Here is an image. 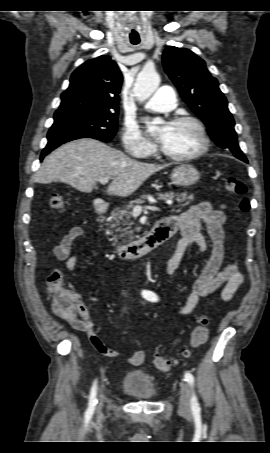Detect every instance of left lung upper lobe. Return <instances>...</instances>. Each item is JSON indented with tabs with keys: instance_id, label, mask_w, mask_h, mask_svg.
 Listing matches in <instances>:
<instances>
[{
	"instance_id": "obj_1",
	"label": "left lung upper lobe",
	"mask_w": 270,
	"mask_h": 453,
	"mask_svg": "<svg viewBox=\"0 0 270 453\" xmlns=\"http://www.w3.org/2000/svg\"><path fill=\"white\" fill-rule=\"evenodd\" d=\"M163 65L182 99L207 126L212 140L219 147L229 149L235 157L244 156L237 143L227 100L204 60L188 49L170 46L163 52Z\"/></svg>"
}]
</instances>
